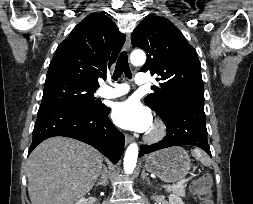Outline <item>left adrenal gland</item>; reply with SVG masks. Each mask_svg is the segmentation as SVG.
Masks as SVG:
<instances>
[{
    "label": "left adrenal gland",
    "instance_id": "a2214340",
    "mask_svg": "<svg viewBox=\"0 0 253 204\" xmlns=\"http://www.w3.org/2000/svg\"><path fill=\"white\" fill-rule=\"evenodd\" d=\"M141 178L142 180L146 179L147 183L150 184V179L148 177V174L145 173V169L142 170Z\"/></svg>",
    "mask_w": 253,
    "mask_h": 204
}]
</instances>
